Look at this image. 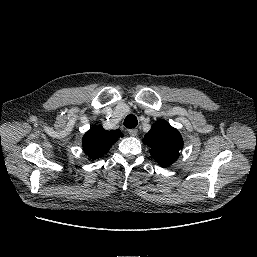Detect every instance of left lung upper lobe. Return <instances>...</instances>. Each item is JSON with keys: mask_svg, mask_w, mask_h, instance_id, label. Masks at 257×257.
Here are the masks:
<instances>
[{"mask_svg": "<svg viewBox=\"0 0 257 257\" xmlns=\"http://www.w3.org/2000/svg\"><path fill=\"white\" fill-rule=\"evenodd\" d=\"M143 143L150 147L152 157L162 167L173 164L183 148V139L179 131L164 120H159L152 125Z\"/></svg>", "mask_w": 257, "mask_h": 257, "instance_id": "5c2ea615", "label": "left lung upper lobe"}]
</instances>
